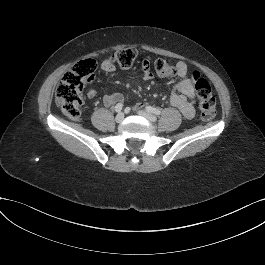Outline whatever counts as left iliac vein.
Instances as JSON below:
<instances>
[{
	"mask_svg": "<svg viewBox=\"0 0 265 265\" xmlns=\"http://www.w3.org/2000/svg\"><path fill=\"white\" fill-rule=\"evenodd\" d=\"M138 115L146 118L147 120L151 121V122H156L157 117L147 111L141 110L137 112Z\"/></svg>",
	"mask_w": 265,
	"mask_h": 265,
	"instance_id": "left-iliac-vein-1",
	"label": "left iliac vein"
}]
</instances>
